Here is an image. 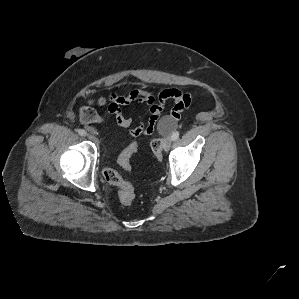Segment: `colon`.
<instances>
[{"label": "colon", "mask_w": 299, "mask_h": 299, "mask_svg": "<svg viewBox=\"0 0 299 299\" xmlns=\"http://www.w3.org/2000/svg\"><path fill=\"white\" fill-rule=\"evenodd\" d=\"M174 126V121L169 117L162 120L160 123V129L162 131L170 130ZM151 151L156 159H161L163 153V145L160 139H155L151 142ZM138 150V142L132 141L119 155L118 164L125 171H130L131 160L133 155ZM103 177L105 181L119 189V199L124 205H130L135 198L134 187L132 184L122 178V176L111 168H106L103 171Z\"/></svg>", "instance_id": "1"}]
</instances>
